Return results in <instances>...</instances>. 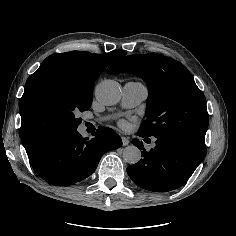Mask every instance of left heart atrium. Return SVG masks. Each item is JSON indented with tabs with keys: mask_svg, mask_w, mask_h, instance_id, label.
Instances as JSON below:
<instances>
[{
	"mask_svg": "<svg viewBox=\"0 0 236 236\" xmlns=\"http://www.w3.org/2000/svg\"><path fill=\"white\" fill-rule=\"evenodd\" d=\"M120 125H121V127H125L126 123L125 122H121Z\"/></svg>",
	"mask_w": 236,
	"mask_h": 236,
	"instance_id": "obj_1",
	"label": "left heart atrium"
}]
</instances>
